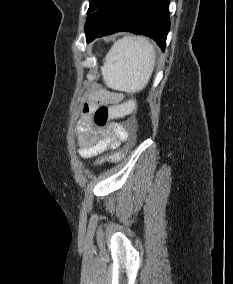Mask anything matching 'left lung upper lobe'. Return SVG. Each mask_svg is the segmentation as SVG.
<instances>
[{"label": "left lung upper lobe", "mask_w": 233, "mask_h": 284, "mask_svg": "<svg viewBox=\"0 0 233 284\" xmlns=\"http://www.w3.org/2000/svg\"><path fill=\"white\" fill-rule=\"evenodd\" d=\"M103 1L104 0H90V6L88 9V13H91V14L88 15L87 20H86L85 33H87L89 29L91 28L93 20H94V16H95V11L98 9V7L101 5Z\"/></svg>", "instance_id": "1"}]
</instances>
